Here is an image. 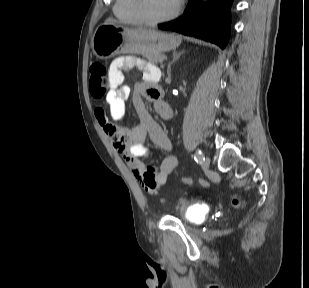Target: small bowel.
<instances>
[{
  "instance_id": "c3829d8e",
  "label": "small bowel",
  "mask_w": 309,
  "mask_h": 288,
  "mask_svg": "<svg viewBox=\"0 0 309 288\" xmlns=\"http://www.w3.org/2000/svg\"><path fill=\"white\" fill-rule=\"evenodd\" d=\"M134 67L145 74L144 81L137 83L132 91V101L139 116V124L133 128L115 125L101 107L95 110V116L115 150L123 155L135 179L147 192L156 194L164 187L169 174L177 165V158L170 153L172 143L168 134L152 118L144 102V98L151 101L161 118L172 117V108L162 99L163 91L158 85V69L153 64L133 56L116 58L109 66L111 87L106 96V103L114 121L124 117L125 103L131 95L130 87L123 84L124 73ZM147 138L166 153L157 166L147 165L140 160L148 154V148L145 146Z\"/></svg>"
}]
</instances>
